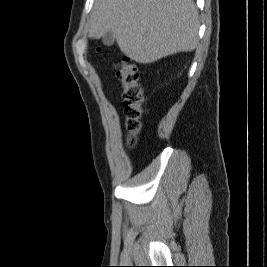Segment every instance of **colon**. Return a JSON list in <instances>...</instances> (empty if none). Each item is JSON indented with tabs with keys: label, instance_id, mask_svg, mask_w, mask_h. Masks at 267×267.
Here are the masks:
<instances>
[{
	"label": "colon",
	"instance_id": "1",
	"mask_svg": "<svg viewBox=\"0 0 267 267\" xmlns=\"http://www.w3.org/2000/svg\"><path fill=\"white\" fill-rule=\"evenodd\" d=\"M115 69L123 86L124 113L128 130L126 141L128 145L133 146L141 127L140 119L145 113L140 75L138 67L127 57L118 62Z\"/></svg>",
	"mask_w": 267,
	"mask_h": 267
}]
</instances>
